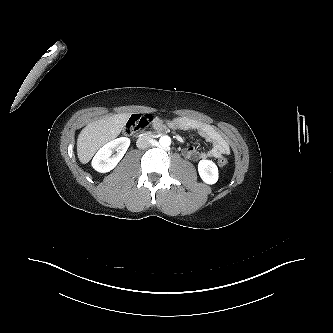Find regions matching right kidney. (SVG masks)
Wrapping results in <instances>:
<instances>
[{
  "label": "right kidney",
  "instance_id": "obj_1",
  "mask_svg": "<svg viewBox=\"0 0 333 333\" xmlns=\"http://www.w3.org/2000/svg\"><path fill=\"white\" fill-rule=\"evenodd\" d=\"M129 145L130 139L127 137H120L110 141L96 153L92 159V167L100 173L111 171L123 158ZM114 151H117V154L113 155Z\"/></svg>",
  "mask_w": 333,
  "mask_h": 333
}]
</instances>
